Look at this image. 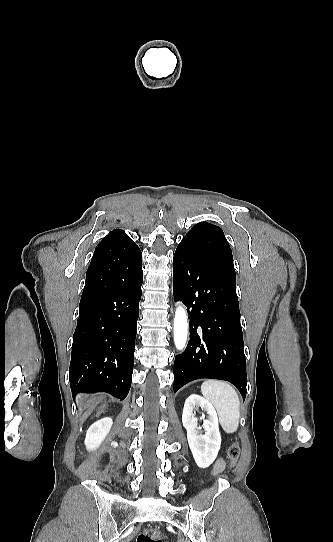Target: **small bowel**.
<instances>
[{
    "label": "small bowel",
    "mask_w": 333,
    "mask_h": 542,
    "mask_svg": "<svg viewBox=\"0 0 333 542\" xmlns=\"http://www.w3.org/2000/svg\"><path fill=\"white\" fill-rule=\"evenodd\" d=\"M225 469V461L223 459H217L212 468V476H218Z\"/></svg>",
    "instance_id": "small-bowel-1"
}]
</instances>
